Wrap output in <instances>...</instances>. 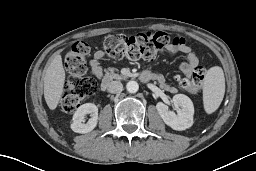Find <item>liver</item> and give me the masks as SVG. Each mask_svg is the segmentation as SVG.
Listing matches in <instances>:
<instances>
[{"instance_id": "obj_1", "label": "liver", "mask_w": 256, "mask_h": 171, "mask_svg": "<svg viewBox=\"0 0 256 171\" xmlns=\"http://www.w3.org/2000/svg\"><path fill=\"white\" fill-rule=\"evenodd\" d=\"M65 70L60 54L55 55L44 76V98L49 109H56L63 93Z\"/></svg>"}]
</instances>
